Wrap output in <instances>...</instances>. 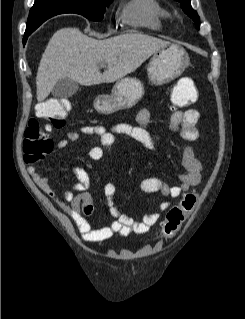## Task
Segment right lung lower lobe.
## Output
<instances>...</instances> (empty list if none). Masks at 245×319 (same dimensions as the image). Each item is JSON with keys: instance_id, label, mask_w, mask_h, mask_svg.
<instances>
[{"instance_id": "1", "label": "right lung lower lobe", "mask_w": 245, "mask_h": 319, "mask_svg": "<svg viewBox=\"0 0 245 319\" xmlns=\"http://www.w3.org/2000/svg\"><path fill=\"white\" fill-rule=\"evenodd\" d=\"M30 34H31L30 32H25L24 39H23L24 44Z\"/></svg>"}]
</instances>
